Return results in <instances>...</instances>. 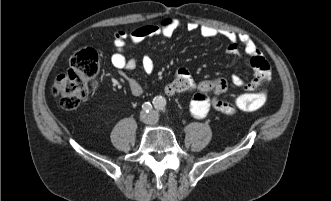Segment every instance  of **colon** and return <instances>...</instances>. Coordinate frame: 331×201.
<instances>
[{"instance_id":"1","label":"colon","mask_w":331,"mask_h":201,"mask_svg":"<svg viewBox=\"0 0 331 201\" xmlns=\"http://www.w3.org/2000/svg\"><path fill=\"white\" fill-rule=\"evenodd\" d=\"M99 58L92 48L78 51L70 60L69 68L52 85V93L67 110L78 107L98 85ZM267 93L257 91L237 96L233 104L238 111H256L264 106Z\"/></svg>"}]
</instances>
